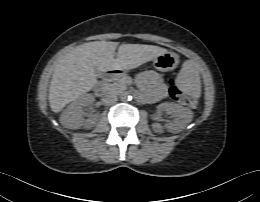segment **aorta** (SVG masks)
I'll list each match as a JSON object with an SVG mask.
<instances>
[{"mask_svg":"<svg viewBox=\"0 0 260 202\" xmlns=\"http://www.w3.org/2000/svg\"><path fill=\"white\" fill-rule=\"evenodd\" d=\"M121 101L126 102L132 100V96L128 92H123L120 96Z\"/></svg>","mask_w":260,"mask_h":202,"instance_id":"762f6f07","label":"aorta"}]
</instances>
